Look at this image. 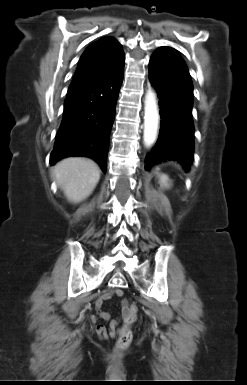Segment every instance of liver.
Wrapping results in <instances>:
<instances>
[{"label": "liver", "mask_w": 247, "mask_h": 385, "mask_svg": "<svg viewBox=\"0 0 247 385\" xmlns=\"http://www.w3.org/2000/svg\"><path fill=\"white\" fill-rule=\"evenodd\" d=\"M53 176L67 199L79 203L93 192L100 179V169L91 159L71 157L55 165Z\"/></svg>", "instance_id": "1"}]
</instances>
